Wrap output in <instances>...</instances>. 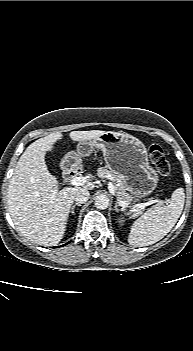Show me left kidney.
Instances as JSON below:
<instances>
[{"mask_svg":"<svg viewBox=\"0 0 193 351\" xmlns=\"http://www.w3.org/2000/svg\"><path fill=\"white\" fill-rule=\"evenodd\" d=\"M124 221H125L124 218H120L118 222L120 225H123Z\"/></svg>","mask_w":193,"mask_h":351,"instance_id":"obj_1","label":"left kidney"}]
</instances>
